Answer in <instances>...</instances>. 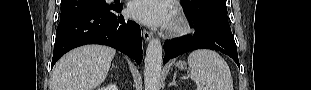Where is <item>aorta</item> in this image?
I'll use <instances>...</instances> for the list:
<instances>
[{
    "label": "aorta",
    "mask_w": 311,
    "mask_h": 90,
    "mask_svg": "<svg viewBox=\"0 0 311 90\" xmlns=\"http://www.w3.org/2000/svg\"><path fill=\"white\" fill-rule=\"evenodd\" d=\"M162 45L159 39H151L147 46L144 69L145 90H158L162 67Z\"/></svg>",
    "instance_id": "obj_1"
}]
</instances>
